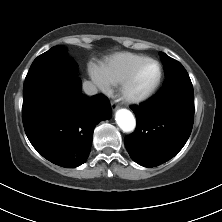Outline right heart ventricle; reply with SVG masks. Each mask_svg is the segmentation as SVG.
Masks as SVG:
<instances>
[{
	"mask_svg": "<svg viewBox=\"0 0 222 222\" xmlns=\"http://www.w3.org/2000/svg\"><path fill=\"white\" fill-rule=\"evenodd\" d=\"M147 59L146 56L130 52H121L110 56L103 62L98 73L108 85H118L140 62Z\"/></svg>",
	"mask_w": 222,
	"mask_h": 222,
	"instance_id": "obj_1",
	"label": "right heart ventricle"
}]
</instances>
